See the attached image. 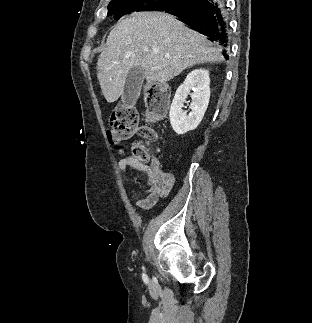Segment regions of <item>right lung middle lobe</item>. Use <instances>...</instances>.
Instances as JSON below:
<instances>
[{
  "instance_id": "1",
  "label": "right lung middle lobe",
  "mask_w": 312,
  "mask_h": 323,
  "mask_svg": "<svg viewBox=\"0 0 312 323\" xmlns=\"http://www.w3.org/2000/svg\"><path fill=\"white\" fill-rule=\"evenodd\" d=\"M188 0H112L108 6V15L116 20L135 11L166 10L183 5Z\"/></svg>"
}]
</instances>
